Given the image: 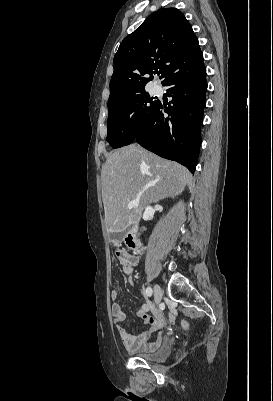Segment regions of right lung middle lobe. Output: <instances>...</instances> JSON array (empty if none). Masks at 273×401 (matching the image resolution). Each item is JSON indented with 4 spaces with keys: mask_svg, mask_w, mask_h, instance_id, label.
Wrapping results in <instances>:
<instances>
[{
    "mask_svg": "<svg viewBox=\"0 0 273 401\" xmlns=\"http://www.w3.org/2000/svg\"><path fill=\"white\" fill-rule=\"evenodd\" d=\"M158 103L143 91L109 106L107 141L111 146L131 144L140 128L152 118Z\"/></svg>",
    "mask_w": 273,
    "mask_h": 401,
    "instance_id": "1",
    "label": "right lung middle lobe"
}]
</instances>
